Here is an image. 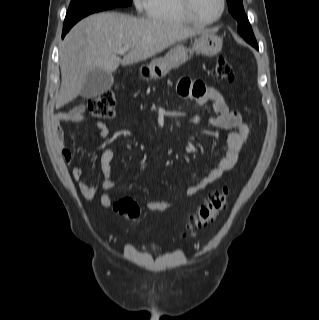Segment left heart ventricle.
I'll list each match as a JSON object with an SVG mask.
<instances>
[{
	"label": "left heart ventricle",
	"mask_w": 319,
	"mask_h": 320,
	"mask_svg": "<svg viewBox=\"0 0 319 320\" xmlns=\"http://www.w3.org/2000/svg\"><path fill=\"white\" fill-rule=\"evenodd\" d=\"M220 0H193V9L196 16L203 20H211L218 16Z\"/></svg>",
	"instance_id": "b2bd125f"
}]
</instances>
